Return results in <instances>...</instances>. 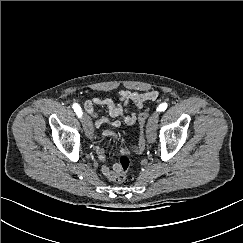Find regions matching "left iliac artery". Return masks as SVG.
I'll return each instance as SVG.
<instances>
[{"mask_svg": "<svg viewBox=\"0 0 243 243\" xmlns=\"http://www.w3.org/2000/svg\"><path fill=\"white\" fill-rule=\"evenodd\" d=\"M167 108V103H162L157 107V111L162 112L165 111Z\"/></svg>", "mask_w": 243, "mask_h": 243, "instance_id": "44dca946", "label": "left iliac artery"}]
</instances>
